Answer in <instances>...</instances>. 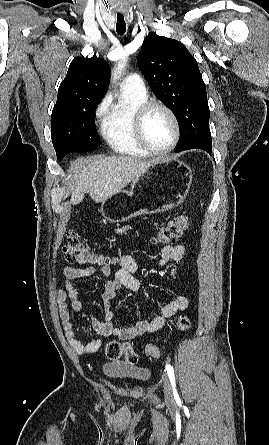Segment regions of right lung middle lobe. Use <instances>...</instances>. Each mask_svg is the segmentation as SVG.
I'll return each instance as SVG.
<instances>
[{
  "label": "right lung middle lobe",
  "instance_id": "1",
  "mask_svg": "<svg viewBox=\"0 0 269 445\" xmlns=\"http://www.w3.org/2000/svg\"><path fill=\"white\" fill-rule=\"evenodd\" d=\"M99 102L75 100L55 104L51 116V137L59 161L68 153H86L101 144L94 122Z\"/></svg>",
  "mask_w": 269,
  "mask_h": 445
}]
</instances>
